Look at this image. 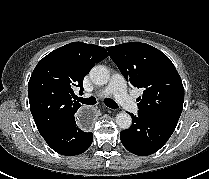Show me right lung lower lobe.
Returning <instances> with one entry per match:
<instances>
[{"instance_id":"1","label":"right lung lower lobe","mask_w":209,"mask_h":179,"mask_svg":"<svg viewBox=\"0 0 209 179\" xmlns=\"http://www.w3.org/2000/svg\"><path fill=\"white\" fill-rule=\"evenodd\" d=\"M43 138L55 152L73 156L85 152L90 147L93 134L82 131L76 125L73 115Z\"/></svg>"}]
</instances>
